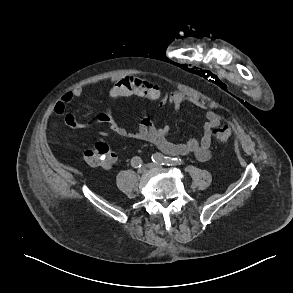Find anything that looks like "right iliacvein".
<instances>
[{
	"instance_id": "1",
	"label": "right iliac vein",
	"mask_w": 293,
	"mask_h": 293,
	"mask_svg": "<svg viewBox=\"0 0 293 293\" xmlns=\"http://www.w3.org/2000/svg\"><path fill=\"white\" fill-rule=\"evenodd\" d=\"M145 171H146L145 167H141V168L138 169V173H139V174H142V173H144Z\"/></svg>"
}]
</instances>
